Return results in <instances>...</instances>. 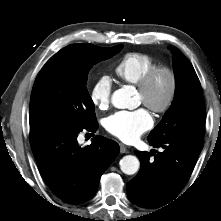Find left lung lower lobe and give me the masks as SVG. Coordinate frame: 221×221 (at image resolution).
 I'll return each mask as SVG.
<instances>
[{
	"instance_id": "1",
	"label": "left lung lower lobe",
	"mask_w": 221,
	"mask_h": 221,
	"mask_svg": "<svg viewBox=\"0 0 221 221\" xmlns=\"http://www.w3.org/2000/svg\"><path fill=\"white\" fill-rule=\"evenodd\" d=\"M162 153L135 151L141 162L138 174L127 184L132 203L144 208H159L178 196L186 185L203 148L202 143L170 138L154 143ZM154 155V160L151 159Z\"/></svg>"
}]
</instances>
